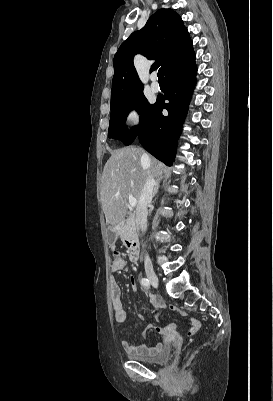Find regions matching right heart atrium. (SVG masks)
<instances>
[{
  "label": "right heart atrium",
  "instance_id": "1",
  "mask_svg": "<svg viewBox=\"0 0 273 401\" xmlns=\"http://www.w3.org/2000/svg\"><path fill=\"white\" fill-rule=\"evenodd\" d=\"M126 120L128 123L132 125H137L140 121V113L139 110L136 106H132L127 114H126Z\"/></svg>",
  "mask_w": 273,
  "mask_h": 401
}]
</instances>
